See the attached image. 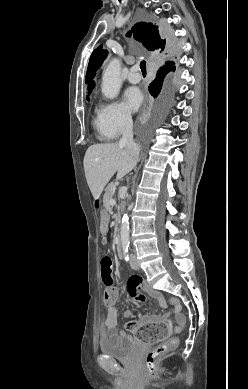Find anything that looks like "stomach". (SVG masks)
<instances>
[{"mask_svg": "<svg viewBox=\"0 0 248 389\" xmlns=\"http://www.w3.org/2000/svg\"><path fill=\"white\" fill-rule=\"evenodd\" d=\"M101 220H100V229H99V234L100 235H106L108 233V227L107 225L109 224V221L112 218V215L108 213V208L107 207H102L101 208Z\"/></svg>", "mask_w": 248, "mask_h": 389, "instance_id": "1", "label": "stomach"}]
</instances>
